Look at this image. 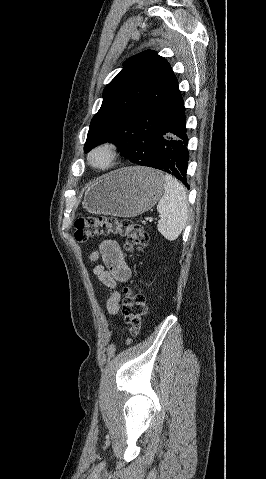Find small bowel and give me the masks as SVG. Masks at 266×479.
Returning <instances> with one entry per match:
<instances>
[{
	"instance_id": "obj_1",
	"label": "small bowel",
	"mask_w": 266,
	"mask_h": 479,
	"mask_svg": "<svg viewBox=\"0 0 266 479\" xmlns=\"http://www.w3.org/2000/svg\"><path fill=\"white\" fill-rule=\"evenodd\" d=\"M99 256L103 264L95 266L94 274L109 289L106 309L111 316H115L119 311L121 299L117 285L130 279L131 270L126 261L125 253L114 240H103L98 250L91 254V259L97 260Z\"/></svg>"
}]
</instances>
